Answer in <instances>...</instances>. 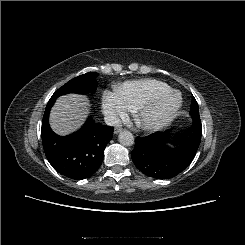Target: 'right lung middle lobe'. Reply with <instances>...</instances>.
I'll return each instance as SVG.
<instances>
[{
    "label": "right lung middle lobe",
    "instance_id": "1",
    "mask_svg": "<svg viewBox=\"0 0 245 245\" xmlns=\"http://www.w3.org/2000/svg\"><path fill=\"white\" fill-rule=\"evenodd\" d=\"M96 72H89L68 81L65 85L59 88L51 97V100H56L59 96L68 93H88L96 87Z\"/></svg>",
    "mask_w": 245,
    "mask_h": 245
}]
</instances>
